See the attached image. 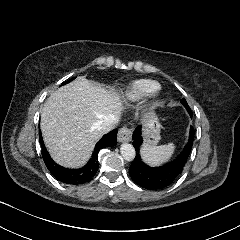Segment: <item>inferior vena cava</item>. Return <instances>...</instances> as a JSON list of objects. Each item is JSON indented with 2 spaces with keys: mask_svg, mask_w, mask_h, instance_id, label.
<instances>
[{
  "mask_svg": "<svg viewBox=\"0 0 240 240\" xmlns=\"http://www.w3.org/2000/svg\"><path fill=\"white\" fill-rule=\"evenodd\" d=\"M119 119L114 115H109L105 117L102 121L98 122V129L103 133V135L112 131L118 125Z\"/></svg>",
  "mask_w": 240,
  "mask_h": 240,
  "instance_id": "602c4592",
  "label": "inferior vena cava"
}]
</instances>
